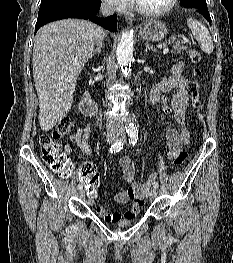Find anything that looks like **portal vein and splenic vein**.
<instances>
[{
  "label": "portal vein and splenic vein",
  "instance_id": "portal-vein-and-splenic-vein-1",
  "mask_svg": "<svg viewBox=\"0 0 233 263\" xmlns=\"http://www.w3.org/2000/svg\"><path fill=\"white\" fill-rule=\"evenodd\" d=\"M168 51H169V49H168V48H165V49H163V54H167V53H168Z\"/></svg>",
  "mask_w": 233,
  "mask_h": 263
}]
</instances>
